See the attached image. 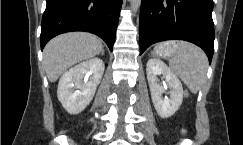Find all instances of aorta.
<instances>
[{
    "mask_svg": "<svg viewBox=\"0 0 243 145\" xmlns=\"http://www.w3.org/2000/svg\"><path fill=\"white\" fill-rule=\"evenodd\" d=\"M131 9L133 12H137L141 5V0H130Z\"/></svg>",
    "mask_w": 243,
    "mask_h": 145,
    "instance_id": "1",
    "label": "aorta"
}]
</instances>
